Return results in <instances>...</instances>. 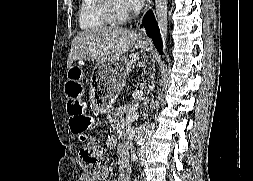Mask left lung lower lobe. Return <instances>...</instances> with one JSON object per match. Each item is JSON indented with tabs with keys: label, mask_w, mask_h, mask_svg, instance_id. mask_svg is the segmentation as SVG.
<instances>
[{
	"label": "left lung lower lobe",
	"mask_w": 253,
	"mask_h": 181,
	"mask_svg": "<svg viewBox=\"0 0 253 181\" xmlns=\"http://www.w3.org/2000/svg\"><path fill=\"white\" fill-rule=\"evenodd\" d=\"M143 25L146 28L147 35L152 38L155 47L161 53L162 52L161 35L152 11L146 13L143 19Z\"/></svg>",
	"instance_id": "0a47b994"
}]
</instances>
